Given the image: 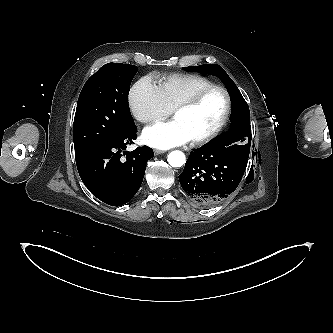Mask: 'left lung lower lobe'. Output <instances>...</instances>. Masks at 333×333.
Wrapping results in <instances>:
<instances>
[{
    "label": "left lung lower lobe",
    "mask_w": 333,
    "mask_h": 333,
    "mask_svg": "<svg viewBox=\"0 0 333 333\" xmlns=\"http://www.w3.org/2000/svg\"><path fill=\"white\" fill-rule=\"evenodd\" d=\"M246 166L247 161L209 144L190 154L179 180L193 202L211 207L235 191Z\"/></svg>",
    "instance_id": "0a47b994"
}]
</instances>
